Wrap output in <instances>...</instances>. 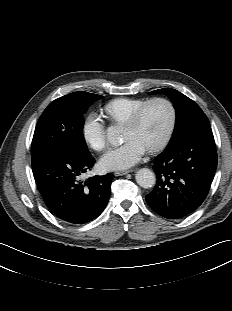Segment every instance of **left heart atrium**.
Returning <instances> with one entry per match:
<instances>
[{
    "label": "left heart atrium",
    "instance_id": "left-heart-atrium-1",
    "mask_svg": "<svg viewBox=\"0 0 232 311\" xmlns=\"http://www.w3.org/2000/svg\"><path fill=\"white\" fill-rule=\"evenodd\" d=\"M147 148L138 140L131 139L122 146L108 151L100 161L106 170H122L137 164Z\"/></svg>",
    "mask_w": 232,
    "mask_h": 311
}]
</instances>
